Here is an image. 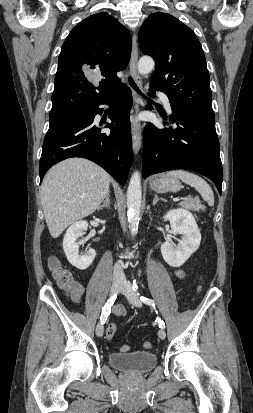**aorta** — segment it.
Segmentation results:
<instances>
[{
	"mask_svg": "<svg viewBox=\"0 0 253 413\" xmlns=\"http://www.w3.org/2000/svg\"><path fill=\"white\" fill-rule=\"evenodd\" d=\"M154 67L155 62L150 56H142L137 65L138 72L141 75L149 74ZM141 198V175L138 171H135L131 176L127 189L128 222L133 236L137 232L140 219Z\"/></svg>",
	"mask_w": 253,
	"mask_h": 413,
	"instance_id": "762f6f07",
	"label": "aorta"
}]
</instances>
